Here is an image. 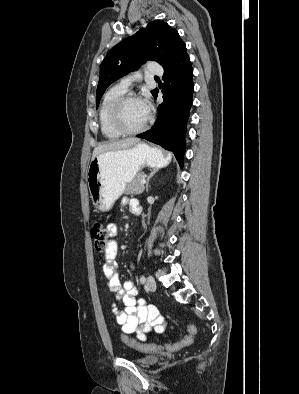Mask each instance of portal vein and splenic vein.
Returning a JSON list of instances; mask_svg holds the SVG:
<instances>
[{
    "instance_id": "18ae733b",
    "label": "portal vein and splenic vein",
    "mask_w": 299,
    "mask_h": 394,
    "mask_svg": "<svg viewBox=\"0 0 299 394\" xmlns=\"http://www.w3.org/2000/svg\"><path fill=\"white\" fill-rule=\"evenodd\" d=\"M146 183V180L145 179H142V181H141V184H145Z\"/></svg>"
}]
</instances>
